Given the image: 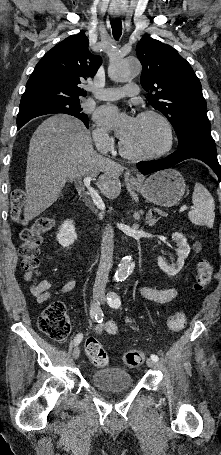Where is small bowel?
I'll use <instances>...</instances> for the list:
<instances>
[{
  "mask_svg": "<svg viewBox=\"0 0 221 455\" xmlns=\"http://www.w3.org/2000/svg\"><path fill=\"white\" fill-rule=\"evenodd\" d=\"M55 280L46 279L39 283H33L31 285V293L35 296L38 304H43L53 296H60L72 291L76 287V281L73 279L68 280L61 287H54ZM142 295L154 302L157 303H166L171 301L176 296V291L173 288H152V287H143ZM127 325L135 330L136 326L133 319L130 316L125 318ZM96 333H101L102 331L107 332L109 335H116L118 332L117 325L114 320H107L103 323H99L95 327Z\"/></svg>",
  "mask_w": 221,
  "mask_h": 455,
  "instance_id": "1",
  "label": "small bowel"
}]
</instances>
